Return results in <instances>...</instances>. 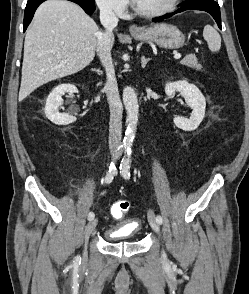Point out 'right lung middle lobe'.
I'll return each mask as SVG.
<instances>
[{
  "instance_id": "dd1d6c3e",
  "label": "right lung middle lobe",
  "mask_w": 249,
  "mask_h": 294,
  "mask_svg": "<svg viewBox=\"0 0 249 294\" xmlns=\"http://www.w3.org/2000/svg\"><path fill=\"white\" fill-rule=\"evenodd\" d=\"M87 1L94 2V0H87Z\"/></svg>"
}]
</instances>
